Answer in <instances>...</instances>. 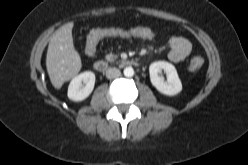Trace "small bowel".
<instances>
[{
	"label": "small bowel",
	"mask_w": 248,
	"mask_h": 165,
	"mask_svg": "<svg viewBox=\"0 0 248 165\" xmlns=\"http://www.w3.org/2000/svg\"><path fill=\"white\" fill-rule=\"evenodd\" d=\"M141 30H148V31H151L153 34L149 36L142 35L139 33V31ZM125 32L126 34L120 37L153 39L155 36L154 32L150 28H147V27H134V28L126 29ZM88 39H89V36L87 38V41ZM191 50H192V46L188 39L182 36H174L169 40L168 58L170 61L174 63L181 62L190 55Z\"/></svg>",
	"instance_id": "small-bowel-1"
}]
</instances>
